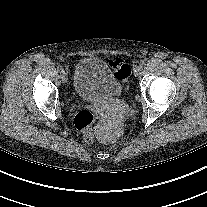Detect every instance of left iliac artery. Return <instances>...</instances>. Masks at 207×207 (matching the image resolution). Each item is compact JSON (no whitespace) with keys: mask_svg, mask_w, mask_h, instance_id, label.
Instances as JSON below:
<instances>
[{"mask_svg":"<svg viewBox=\"0 0 207 207\" xmlns=\"http://www.w3.org/2000/svg\"><path fill=\"white\" fill-rule=\"evenodd\" d=\"M145 65H146V64H145L144 61H142V62L140 63L141 68L144 67Z\"/></svg>","mask_w":207,"mask_h":207,"instance_id":"obj_1","label":"left iliac artery"}]
</instances>
